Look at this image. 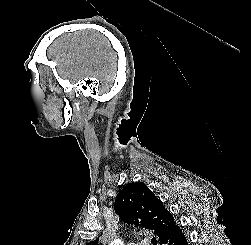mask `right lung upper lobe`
I'll return each instance as SVG.
<instances>
[{"label":"right lung upper lobe","mask_w":251,"mask_h":245,"mask_svg":"<svg viewBox=\"0 0 251 245\" xmlns=\"http://www.w3.org/2000/svg\"><path fill=\"white\" fill-rule=\"evenodd\" d=\"M114 208L123 222L154 230L160 245L179 229L171 213L141 182L128 183L117 195ZM87 245H98V240Z\"/></svg>","instance_id":"cb5924a9"}]
</instances>
